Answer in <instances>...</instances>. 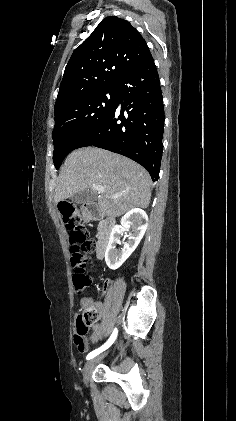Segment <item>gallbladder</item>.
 Returning <instances> with one entry per match:
<instances>
[{
	"label": "gallbladder",
	"instance_id": "obj_1",
	"mask_svg": "<svg viewBox=\"0 0 236 421\" xmlns=\"http://www.w3.org/2000/svg\"><path fill=\"white\" fill-rule=\"evenodd\" d=\"M70 200H72V202H77V204H82V202H88L90 196L87 190H79V192H75L73 196H70Z\"/></svg>",
	"mask_w": 236,
	"mask_h": 421
}]
</instances>
